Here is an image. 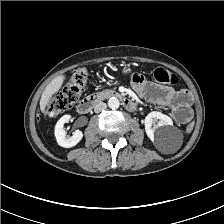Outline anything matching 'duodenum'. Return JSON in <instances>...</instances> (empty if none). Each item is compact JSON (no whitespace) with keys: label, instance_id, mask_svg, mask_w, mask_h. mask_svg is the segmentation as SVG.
Masks as SVG:
<instances>
[{"label":"duodenum","instance_id":"obj_1","mask_svg":"<svg viewBox=\"0 0 224 224\" xmlns=\"http://www.w3.org/2000/svg\"><path fill=\"white\" fill-rule=\"evenodd\" d=\"M103 98H117L120 99L126 110L133 112L136 109L135 103L128 97L122 95L115 90H105L102 92L93 93L84 98L77 106V112L79 114H87Z\"/></svg>","mask_w":224,"mask_h":224}]
</instances>
